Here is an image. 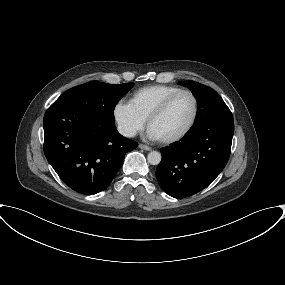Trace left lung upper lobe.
<instances>
[{
  "label": "left lung upper lobe",
  "instance_id": "1",
  "mask_svg": "<svg viewBox=\"0 0 285 285\" xmlns=\"http://www.w3.org/2000/svg\"><path fill=\"white\" fill-rule=\"evenodd\" d=\"M178 84L188 87L198 102L197 115L191 128L211 121L233 120L228 106L212 88L194 81H181Z\"/></svg>",
  "mask_w": 285,
  "mask_h": 285
}]
</instances>
